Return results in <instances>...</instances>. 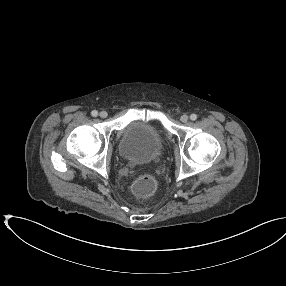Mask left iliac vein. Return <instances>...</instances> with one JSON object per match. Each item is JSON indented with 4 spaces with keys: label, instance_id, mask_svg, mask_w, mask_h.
<instances>
[{
    "label": "left iliac vein",
    "instance_id": "1",
    "mask_svg": "<svg viewBox=\"0 0 286 286\" xmlns=\"http://www.w3.org/2000/svg\"><path fill=\"white\" fill-rule=\"evenodd\" d=\"M188 119H189V117L186 114L182 115L180 118L181 122H183V123H186L188 121Z\"/></svg>",
    "mask_w": 286,
    "mask_h": 286
}]
</instances>
